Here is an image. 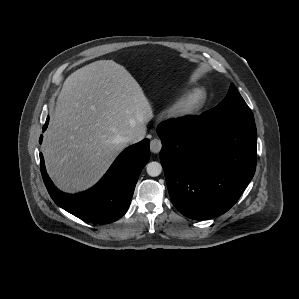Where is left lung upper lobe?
I'll use <instances>...</instances> for the list:
<instances>
[{
  "label": "left lung upper lobe",
  "mask_w": 299,
  "mask_h": 299,
  "mask_svg": "<svg viewBox=\"0 0 299 299\" xmlns=\"http://www.w3.org/2000/svg\"><path fill=\"white\" fill-rule=\"evenodd\" d=\"M202 115L208 120L221 123L254 121L250 108L233 84H231L225 99Z\"/></svg>",
  "instance_id": "5c2ea615"
}]
</instances>
